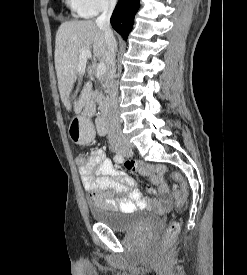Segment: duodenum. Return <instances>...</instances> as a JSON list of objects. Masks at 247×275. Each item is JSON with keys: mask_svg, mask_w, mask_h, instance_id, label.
Returning a JSON list of instances; mask_svg holds the SVG:
<instances>
[{"mask_svg": "<svg viewBox=\"0 0 247 275\" xmlns=\"http://www.w3.org/2000/svg\"><path fill=\"white\" fill-rule=\"evenodd\" d=\"M94 91L87 93L83 100V110L87 112L93 108V100H94ZM97 133L100 136H103L107 133L108 125H109V112L107 111L105 114L98 116L95 121Z\"/></svg>", "mask_w": 247, "mask_h": 275, "instance_id": "1", "label": "duodenum"}]
</instances>
